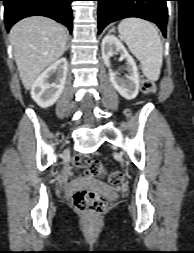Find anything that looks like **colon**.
<instances>
[{"label":"colon","mask_w":194,"mask_h":253,"mask_svg":"<svg viewBox=\"0 0 194 253\" xmlns=\"http://www.w3.org/2000/svg\"><path fill=\"white\" fill-rule=\"evenodd\" d=\"M142 91L145 94L152 95L156 92V85L153 81L148 79H143L142 81ZM126 122H133V117H129L132 115V110L127 109L125 111ZM74 164L78 167L86 168V173L89 176L97 177V178H104L107 177L108 181L112 185H119L122 182L123 176L122 173L119 171H112L110 173L107 172L106 168L102 163L96 160H91L87 155L79 154L76 155L74 158ZM73 205L74 207L82 212L88 214H100L106 208V201L105 199L90 190H78L73 195Z\"/></svg>","instance_id":"colon-1"}]
</instances>
